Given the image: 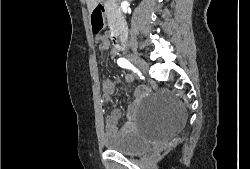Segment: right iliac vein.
I'll return each instance as SVG.
<instances>
[{
  "instance_id": "1",
  "label": "right iliac vein",
  "mask_w": 250,
  "mask_h": 169,
  "mask_svg": "<svg viewBox=\"0 0 250 169\" xmlns=\"http://www.w3.org/2000/svg\"><path fill=\"white\" fill-rule=\"evenodd\" d=\"M130 60L134 64H136L141 70L146 71L148 69V64L137 55H131Z\"/></svg>"
}]
</instances>
